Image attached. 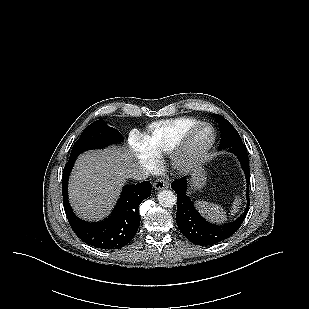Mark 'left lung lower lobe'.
<instances>
[{"instance_id": "0a47b994", "label": "left lung lower lobe", "mask_w": 309, "mask_h": 309, "mask_svg": "<svg viewBox=\"0 0 309 309\" xmlns=\"http://www.w3.org/2000/svg\"><path fill=\"white\" fill-rule=\"evenodd\" d=\"M229 152L235 154L239 159L247 180V198L249 199L250 170L247 149L244 144L226 147ZM222 150V149H220ZM172 189L177 193L176 223L181 233L196 245H213L231 237L243 223L249 210V202L244 213L235 221L216 225L206 221L195 209L193 202L186 195L188 187L185 177L171 183Z\"/></svg>"}]
</instances>
